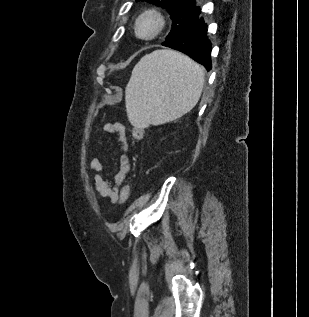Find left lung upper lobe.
I'll list each match as a JSON object with an SVG mask.
<instances>
[{
	"label": "left lung upper lobe",
	"instance_id": "5c2ea615",
	"mask_svg": "<svg viewBox=\"0 0 309 317\" xmlns=\"http://www.w3.org/2000/svg\"><path fill=\"white\" fill-rule=\"evenodd\" d=\"M145 1L167 9L172 19V29L166 39L171 38L188 24L190 18L198 10L194 0H136Z\"/></svg>",
	"mask_w": 309,
	"mask_h": 317
}]
</instances>
